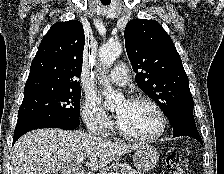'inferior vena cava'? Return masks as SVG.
Masks as SVG:
<instances>
[{
	"label": "inferior vena cava",
	"instance_id": "602c4592",
	"mask_svg": "<svg viewBox=\"0 0 224 174\" xmlns=\"http://www.w3.org/2000/svg\"><path fill=\"white\" fill-rule=\"evenodd\" d=\"M88 132H89L90 135H93V136L95 134V130L93 128H91V127L88 128ZM94 137H96V136H94Z\"/></svg>",
	"mask_w": 224,
	"mask_h": 174
}]
</instances>
